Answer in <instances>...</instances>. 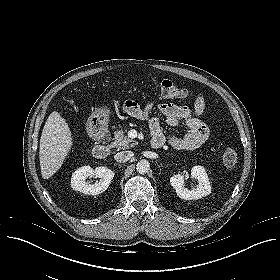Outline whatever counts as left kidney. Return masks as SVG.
I'll return each mask as SVG.
<instances>
[{
    "instance_id": "5707ae66",
    "label": "left kidney",
    "mask_w": 280,
    "mask_h": 280,
    "mask_svg": "<svg viewBox=\"0 0 280 280\" xmlns=\"http://www.w3.org/2000/svg\"><path fill=\"white\" fill-rule=\"evenodd\" d=\"M191 177L198 183L191 189L186 188L184 175L176 174L170 178V184L176 190V193L180 198L184 200H196L211 193L212 187L204 167L194 166L191 169Z\"/></svg>"
}]
</instances>
